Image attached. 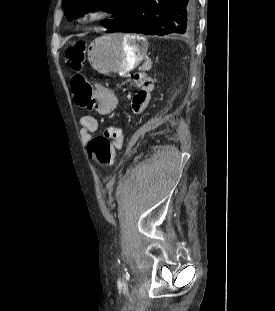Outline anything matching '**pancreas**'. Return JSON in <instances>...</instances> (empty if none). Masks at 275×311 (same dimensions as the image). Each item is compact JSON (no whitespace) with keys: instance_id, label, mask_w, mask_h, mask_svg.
Instances as JSON below:
<instances>
[{"instance_id":"cf45deb5","label":"pancreas","mask_w":275,"mask_h":311,"mask_svg":"<svg viewBox=\"0 0 275 311\" xmlns=\"http://www.w3.org/2000/svg\"><path fill=\"white\" fill-rule=\"evenodd\" d=\"M148 67H147V62H145L140 68L139 70H146Z\"/></svg>"}]
</instances>
